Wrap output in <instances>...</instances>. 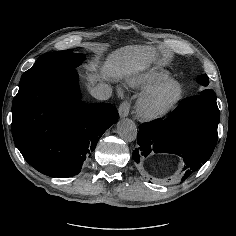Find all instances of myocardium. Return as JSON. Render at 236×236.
I'll return each mask as SVG.
<instances>
[{
  "instance_id": "myocardium-1",
  "label": "myocardium",
  "mask_w": 236,
  "mask_h": 236,
  "mask_svg": "<svg viewBox=\"0 0 236 236\" xmlns=\"http://www.w3.org/2000/svg\"><path fill=\"white\" fill-rule=\"evenodd\" d=\"M182 87L178 82L165 81L141 93L135 113L143 121H157L166 116L180 101Z\"/></svg>"
}]
</instances>
